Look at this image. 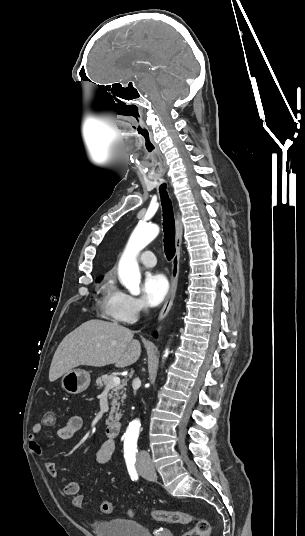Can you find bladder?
<instances>
[{"instance_id": "31cf9c89", "label": "bladder", "mask_w": 305, "mask_h": 536, "mask_svg": "<svg viewBox=\"0 0 305 536\" xmlns=\"http://www.w3.org/2000/svg\"><path fill=\"white\" fill-rule=\"evenodd\" d=\"M92 530L96 536H152L139 521L122 517L94 520Z\"/></svg>"}]
</instances>
